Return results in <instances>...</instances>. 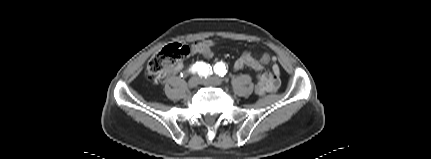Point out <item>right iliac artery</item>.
Here are the masks:
<instances>
[{"instance_id":"obj_1","label":"right iliac artery","mask_w":431,"mask_h":159,"mask_svg":"<svg viewBox=\"0 0 431 159\" xmlns=\"http://www.w3.org/2000/svg\"><path fill=\"white\" fill-rule=\"evenodd\" d=\"M191 73H197L199 76H208L209 74H212V68L210 65L204 63V62H196L191 68Z\"/></svg>"}]
</instances>
